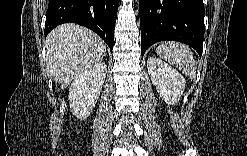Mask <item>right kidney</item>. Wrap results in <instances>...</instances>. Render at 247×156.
I'll return each instance as SVG.
<instances>
[{
	"mask_svg": "<svg viewBox=\"0 0 247 156\" xmlns=\"http://www.w3.org/2000/svg\"><path fill=\"white\" fill-rule=\"evenodd\" d=\"M106 72L107 65L97 63L73 80L69 90L70 110L78 119L89 117L100 96Z\"/></svg>",
	"mask_w": 247,
	"mask_h": 156,
	"instance_id": "ca27d5eb",
	"label": "right kidney"
}]
</instances>
